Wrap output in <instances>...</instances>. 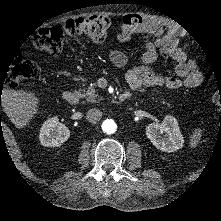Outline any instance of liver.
Returning a JSON list of instances; mask_svg holds the SVG:
<instances>
[{
    "instance_id": "1",
    "label": "liver",
    "mask_w": 221,
    "mask_h": 221,
    "mask_svg": "<svg viewBox=\"0 0 221 221\" xmlns=\"http://www.w3.org/2000/svg\"><path fill=\"white\" fill-rule=\"evenodd\" d=\"M38 98L31 92L7 90L2 99L3 111L16 128L25 127L36 114Z\"/></svg>"
}]
</instances>
